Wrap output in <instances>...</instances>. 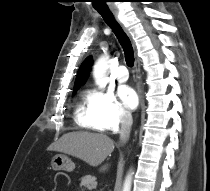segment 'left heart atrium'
Instances as JSON below:
<instances>
[{"label": "left heart atrium", "instance_id": "left-heart-atrium-1", "mask_svg": "<svg viewBox=\"0 0 210 191\" xmlns=\"http://www.w3.org/2000/svg\"><path fill=\"white\" fill-rule=\"evenodd\" d=\"M119 96L123 104L128 109H135L138 104V95L135 90L129 86H121L118 90Z\"/></svg>", "mask_w": 210, "mask_h": 191}]
</instances>
